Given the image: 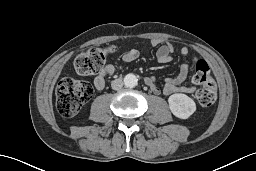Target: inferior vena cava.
<instances>
[{"label": "inferior vena cava", "instance_id": "602c4592", "mask_svg": "<svg viewBox=\"0 0 256 171\" xmlns=\"http://www.w3.org/2000/svg\"><path fill=\"white\" fill-rule=\"evenodd\" d=\"M123 84L124 83H123L122 79H115L112 81L111 87L114 90H120L123 87Z\"/></svg>", "mask_w": 256, "mask_h": 171}]
</instances>
